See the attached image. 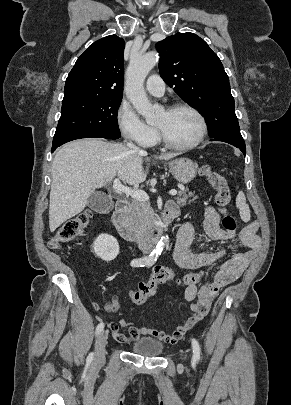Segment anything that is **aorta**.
<instances>
[{
    "label": "aorta",
    "mask_w": 291,
    "mask_h": 405,
    "mask_svg": "<svg viewBox=\"0 0 291 405\" xmlns=\"http://www.w3.org/2000/svg\"><path fill=\"white\" fill-rule=\"evenodd\" d=\"M159 56L155 51L143 55H133L126 72V94L136 111L147 122L156 119L159 109L152 105L144 90V81L151 69L158 63ZM166 237H161L156 247L149 255L151 261H156L161 255Z\"/></svg>",
    "instance_id": "762f6f07"
}]
</instances>
